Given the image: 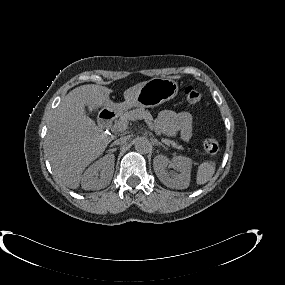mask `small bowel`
Here are the masks:
<instances>
[{"label":"small bowel","instance_id":"1","mask_svg":"<svg viewBox=\"0 0 285 285\" xmlns=\"http://www.w3.org/2000/svg\"><path fill=\"white\" fill-rule=\"evenodd\" d=\"M193 118L188 112H174L165 110L156 118V127L161 133L174 136L180 134L182 139L190 141L192 138Z\"/></svg>","mask_w":285,"mask_h":285}]
</instances>
